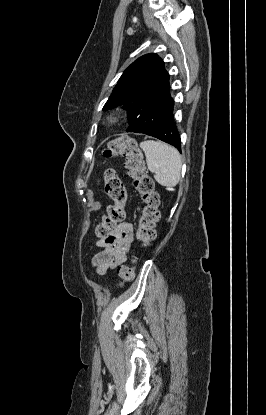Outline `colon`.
Returning a JSON list of instances; mask_svg holds the SVG:
<instances>
[{
  "mask_svg": "<svg viewBox=\"0 0 266 415\" xmlns=\"http://www.w3.org/2000/svg\"><path fill=\"white\" fill-rule=\"evenodd\" d=\"M107 158L124 157L127 175L139 193L143 207L138 219L137 239L143 246H150L156 238V225L160 220L159 196L149 177L144 156L135 139L120 137L110 141L104 150ZM104 189L113 201L106 215L96 226V235L101 238L109 236L111 231L126 219L125 203L127 190L122 180L113 169L104 172ZM121 281H130L134 277L133 266H121L118 270Z\"/></svg>",
  "mask_w": 266,
  "mask_h": 415,
  "instance_id": "obj_1",
  "label": "colon"
}]
</instances>
